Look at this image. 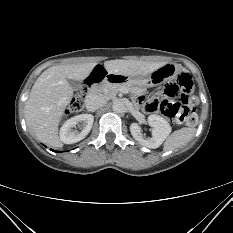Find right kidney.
I'll use <instances>...</instances> for the list:
<instances>
[{
  "mask_svg": "<svg viewBox=\"0 0 233 233\" xmlns=\"http://www.w3.org/2000/svg\"><path fill=\"white\" fill-rule=\"evenodd\" d=\"M79 122H83L81 132L73 130ZM94 122L91 114H80L67 120L60 129V140L65 144H74L84 139L90 132Z\"/></svg>",
  "mask_w": 233,
  "mask_h": 233,
  "instance_id": "1",
  "label": "right kidney"
}]
</instances>
